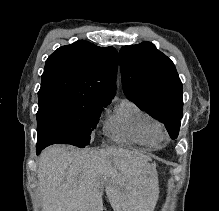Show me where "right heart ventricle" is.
I'll list each match as a JSON object with an SVG mask.
<instances>
[{
	"label": "right heart ventricle",
	"mask_w": 219,
	"mask_h": 211,
	"mask_svg": "<svg viewBox=\"0 0 219 211\" xmlns=\"http://www.w3.org/2000/svg\"><path fill=\"white\" fill-rule=\"evenodd\" d=\"M109 136L120 143L155 147L163 139L160 123L129 101L121 102L106 121Z\"/></svg>",
	"instance_id": "e07e8e85"
}]
</instances>
